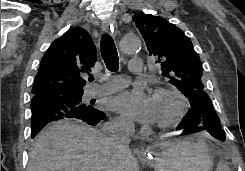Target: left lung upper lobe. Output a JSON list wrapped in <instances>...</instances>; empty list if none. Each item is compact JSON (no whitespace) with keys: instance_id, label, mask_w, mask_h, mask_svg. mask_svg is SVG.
Wrapping results in <instances>:
<instances>
[{"instance_id":"5c2ea615","label":"left lung upper lobe","mask_w":245,"mask_h":171,"mask_svg":"<svg viewBox=\"0 0 245 171\" xmlns=\"http://www.w3.org/2000/svg\"><path fill=\"white\" fill-rule=\"evenodd\" d=\"M132 20L146 42L149 55L157 56L162 76L169 78L186 97L204 91L202 62L180 28L150 14L136 13Z\"/></svg>"}]
</instances>
